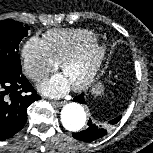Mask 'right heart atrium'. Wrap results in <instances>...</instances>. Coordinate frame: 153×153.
<instances>
[{"label": "right heart atrium", "mask_w": 153, "mask_h": 153, "mask_svg": "<svg viewBox=\"0 0 153 153\" xmlns=\"http://www.w3.org/2000/svg\"><path fill=\"white\" fill-rule=\"evenodd\" d=\"M21 58L25 73L35 82L44 80L58 67L46 43L39 37H31L24 43Z\"/></svg>", "instance_id": "d8ad5b80"}]
</instances>
